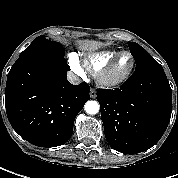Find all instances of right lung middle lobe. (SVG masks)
I'll return each mask as SVG.
<instances>
[{"instance_id": "right-lung-middle-lobe-1", "label": "right lung middle lobe", "mask_w": 178, "mask_h": 178, "mask_svg": "<svg viewBox=\"0 0 178 178\" xmlns=\"http://www.w3.org/2000/svg\"><path fill=\"white\" fill-rule=\"evenodd\" d=\"M64 54L65 50L61 44L48 40L44 35H41L32 41V43L20 54L18 59L32 57H64Z\"/></svg>"}]
</instances>
